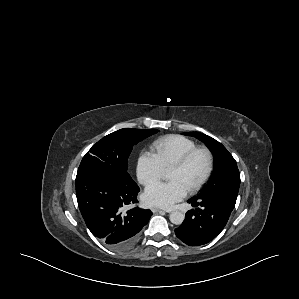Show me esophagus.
Masks as SVG:
<instances>
[{
  "mask_svg": "<svg viewBox=\"0 0 299 299\" xmlns=\"http://www.w3.org/2000/svg\"><path fill=\"white\" fill-rule=\"evenodd\" d=\"M151 211H152L153 213H158V212H162V211H164V212H169V211H165V210H162V209H160V208H156V207L151 208Z\"/></svg>",
  "mask_w": 299,
  "mask_h": 299,
  "instance_id": "esophagus-1",
  "label": "esophagus"
}]
</instances>
